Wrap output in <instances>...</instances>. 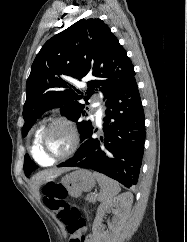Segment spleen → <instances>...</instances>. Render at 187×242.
<instances>
[{"instance_id":"spleen-1","label":"spleen","mask_w":187,"mask_h":242,"mask_svg":"<svg viewBox=\"0 0 187 242\" xmlns=\"http://www.w3.org/2000/svg\"><path fill=\"white\" fill-rule=\"evenodd\" d=\"M93 176L96 178L101 189L98 196L99 201L105 202L111 200L120 192L119 184L113 179L98 172H94Z\"/></svg>"}]
</instances>
